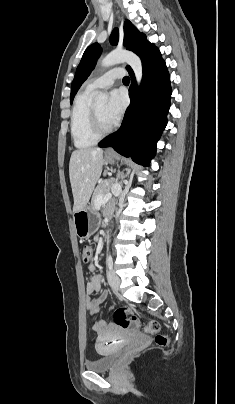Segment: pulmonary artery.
Here are the masks:
<instances>
[{
    "label": "pulmonary artery",
    "instance_id": "1",
    "mask_svg": "<svg viewBox=\"0 0 235 404\" xmlns=\"http://www.w3.org/2000/svg\"><path fill=\"white\" fill-rule=\"evenodd\" d=\"M124 70L121 68H114L103 75L93 78L86 83L85 89L87 91H95L99 89L109 88L113 85L114 81L118 78L123 77Z\"/></svg>",
    "mask_w": 235,
    "mask_h": 404
}]
</instances>
